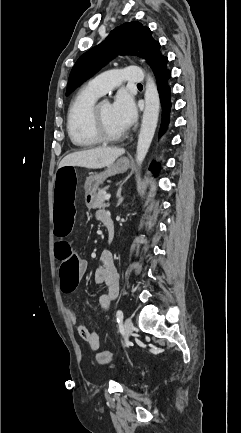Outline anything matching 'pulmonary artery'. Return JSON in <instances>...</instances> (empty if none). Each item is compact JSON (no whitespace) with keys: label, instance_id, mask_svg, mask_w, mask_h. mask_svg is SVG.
<instances>
[{"label":"pulmonary artery","instance_id":"pulmonary-artery-1","mask_svg":"<svg viewBox=\"0 0 241 433\" xmlns=\"http://www.w3.org/2000/svg\"><path fill=\"white\" fill-rule=\"evenodd\" d=\"M142 82H144L142 68L139 66H126L122 69L104 72L92 78L85 87L98 96H102L123 83L139 84Z\"/></svg>","mask_w":241,"mask_h":433}]
</instances>
